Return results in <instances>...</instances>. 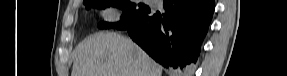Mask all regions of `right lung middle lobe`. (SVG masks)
Wrapping results in <instances>:
<instances>
[{"label": "right lung middle lobe", "instance_id": "right-lung-middle-lobe-1", "mask_svg": "<svg viewBox=\"0 0 287 76\" xmlns=\"http://www.w3.org/2000/svg\"><path fill=\"white\" fill-rule=\"evenodd\" d=\"M84 4L86 5L87 9L90 7L106 8L109 6H115L124 10L120 22H101L98 25L100 29L116 28L118 30H125L144 15H146L150 9L144 3L136 4L130 2L129 0H88L87 2H84Z\"/></svg>", "mask_w": 287, "mask_h": 76}]
</instances>
